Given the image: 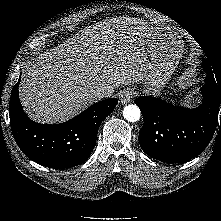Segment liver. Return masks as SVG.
<instances>
[{
	"label": "liver",
	"instance_id": "obj_1",
	"mask_svg": "<svg viewBox=\"0 0 221 221\" xmlns=\"http://www.w3.org/2000/svg\"><path fill=\"white\" fill-rule=\"evenodd\" d=\"M145 22L113 18L86 27L22 69L19 96L28 115L40 123H59L97 100L93 90L113 94L119 86L145 78Z\"/></svg>",
	"mask_w": 221,
	"mask_h": 221
}]
</instances>
